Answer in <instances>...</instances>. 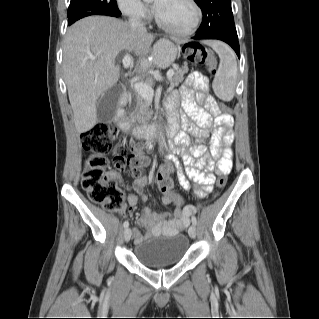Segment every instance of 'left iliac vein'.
Returning a JSON list of instances; mask_svg holds the SVG:
<instances>
[{
	"instance_id": "1",
	"label": "left iliac vein",
	"mask_w": 319,
	"mask_h": 319,
	"mask_svg": "<svg viewBox=\"0 0 319 319\" xmlns=\"http://www.w3.org/2000/svg\"><path fill=\"white\" fill-rule=\"evenodd\" d=\"M188 233H189V236H190L191 238H195V236H196V227H195V225H191V226L189 227Z\"/></svg>"
}]
</instances>
